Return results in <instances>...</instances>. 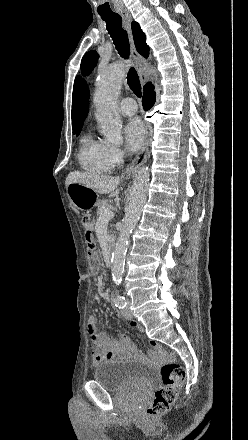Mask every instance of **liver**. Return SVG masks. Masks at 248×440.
Returning a JSON list of instances; mask_svg holds the SVG:
<instances>
[{
    "label": "liver",
    "instance_id": "1",
    "mask_svg": "<svg viewBox=\"0 0 248 440\" xmlns=\"http://www.w3.org/2000/svg\"><path fill=\"white\" fill-rule=\"evenodd\" d=\"M119 181L118 177L73 171L68 174L65 185L68 187V185L72 183H78L97 193L109 194V197L111 198L117 197L119 194V190L117 189Z\"/></svg>",
    "mask_w": 248,
    "mask_h": 440
}]
</instances>
